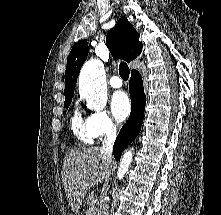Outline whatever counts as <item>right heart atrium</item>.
<instances>
[{
  "mask_svg": "<svg viewBox=\"0 0 221 215\" xmlns=\"http://www.w3.org/2000/svg\"><path fill=\"white\" fill-rule=\"evenodd\" d=\"M89 133L94 139L114 136L118 131V124L105 110H95L86 120Z\"/></svg>",
  "mask_w": 221,
  "mask_h": 215,
  "instance_id": "d8ad5b80",
  "label": "right heart atrium"
}]
</instances>
